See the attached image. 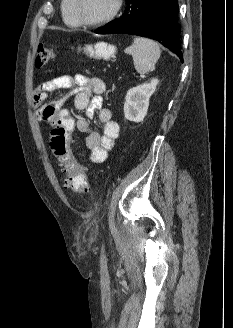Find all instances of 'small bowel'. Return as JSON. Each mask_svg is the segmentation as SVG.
<instances>
[{"label":"small bowel","instance_id":"small-bowel-1","mask_svg":"<svg viewBox=\"0 0 233 328\" xmlns=\"http://www.w3.org/2000/svg\"><path fill=\"white\" fill-rule=\"evenodd\" d=\"M59 89L68 90V95L74 96L75 108L86 114V118H80L75 122V127L86 135L85 148L89 153L90 161L104 162L120 132L119 124L112 119L110 109L103 106L105 83L100 78H89L78 74L74 77L60 76L40 85L34 93L33 102L37 108L38 118L48 124L60 111L64 99L52 103H45V99L50 92ZM95 115L103 124L102 134L95 131L90 123V119Z\"/></svg>","mask_w":233,"mask_h":328}]
</instances>
